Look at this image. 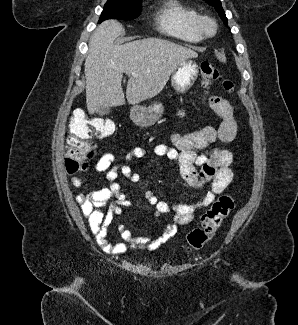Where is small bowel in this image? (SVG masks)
Listing matches in <instances>:
<instances>
[{
	"mask_svg": "<svg viewBox=\"0 0 298 325\" xmlns=\"http://www.w3.org/2000/svg\"><path fill=\"white\" fill-rule=\"evenodd\" d=\"M208 104L221 119L218 127L205 126L188 134L173 132L172 146L159 144L153 149L154 160L165 157L174 161L181 177L191 187L200 188L207 183L210 185L209 191L194 204L169 206L166 202L158 200L154 192L147 191L145 198L155 207L156 216L171 214L173 217V221L163 228L159 236H135L130 226L120 225L118 232L123 242L113 243L108 239V229L114 219L123 213L124 207L131 206L116 179L122 175L133 183L140 182L142 176L134 172L128 163L133 159L145 157L147 151L142 147H136L124 156L122 163L113 153H106L95 162L94 170L104 173L109 185L87 193H79L76 195V201L88 220L97 244L104 252L123 254L128 249H157L177 234L180 225L190 223L198 209L209 206L231 183L233 155L229 150L213 148L205 155L197 153V150L204 149L216 141L230 143L237 133V123L231 104L220 96H210ZM85 183L86 179L83 177L71 179L75 189L83 187Z\"/></svg>",
	"mask_w": 298,
	"mask_h": 325,
	"instance_id": "1",
	"label": "small bowel"
}]
</instances>
